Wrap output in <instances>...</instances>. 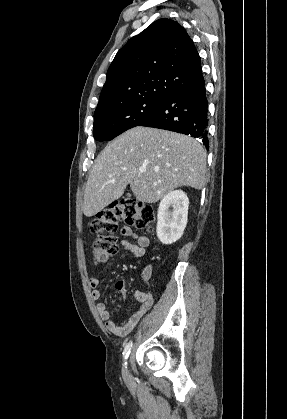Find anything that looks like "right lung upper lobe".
<instances>
[{
	"instance_id": "1",
	"label": "right lung upper lobe",
	"mask_w": 287,
	"mask_h": 419,
	"mask_svg": "<svg viewBox=\"0 0 287 419\" xmlns=\"http://www.w3.org/2000/svg\"><path fill=\"white\" fill-rule=\"evenodd\" d=\"M202 82L201 58L185 29L159 19L118 51L94 114L138 99L164 100Z\"/></svg>"
}]
</instances>
